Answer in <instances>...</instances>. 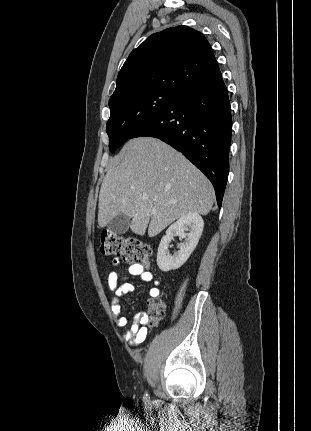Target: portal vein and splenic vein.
Segmentation results:
<instances>
[{
	"label": "portal vein and splenic vein",
	"instance_id": "obj_1",
	"mask_svg": "<svg viewBox=\"0 0 311 431\" xmlns=\"http://www.w3.org/2000/svg\"><path fill=\"white\" fill-rule=\"evenodd\" d=\"M143 200H148V196H142ZM156 198H154V202H155ZM161 204H163V202H161Z\"/></svg>",
	"mask_w": 311,
	"mask_h": 431
}]
</instances>
